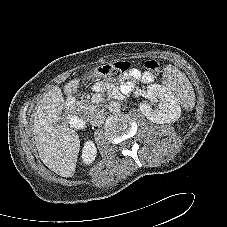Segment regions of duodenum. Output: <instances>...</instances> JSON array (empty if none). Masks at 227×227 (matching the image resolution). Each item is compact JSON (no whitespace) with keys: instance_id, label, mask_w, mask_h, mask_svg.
Returning a JSON list of instances; mask_svg holds the SVG:
<instances>
[{"instance_id":"1","label":"duodenum","mask_w":227,"mask_h":227,"mask_svg":"<svg viewBox=\"0 0 227 227\" xmlns=\"http://www.w3.org/2000/svg\"><path fill=\"white\" fill-rule=\"evenodd\" d=\"M65 113L73 128H75L76 130L85 129L86 121L76 114L74 105H68Z\"/></svg>"}]
</instances>
